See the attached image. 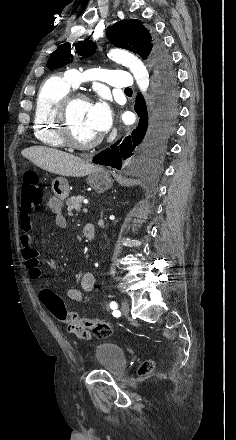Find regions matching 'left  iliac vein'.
<instances>
[{
    "label": "left iliac vein",
    "instance_id": "obj_1",
    "mask_svg": "<svg viewBox=\"0 0 236 440\" xmlns=\"http://www.w3.org/2000/svg\"><path fill=\"white\" fill-rule=\"evenodd\" d=\"M121 310L123 314H128L130 311V304L127 301H123L121 304Z\"/></svg>",
    "mask_w": 236,
    "mask_h": 440
}]
</instances>
